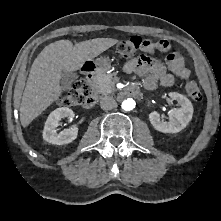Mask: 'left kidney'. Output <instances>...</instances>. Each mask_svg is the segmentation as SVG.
Returning <instances> with one entry per match:
<instances>
[{
    "label": "left kidney",
    "mask_w": 221,
    "mask_h": 221,
    "mask_svg": "<svg viewBox=\"0 0 221 221\" xmlns=\"http://www.w3.org/2000/svg\"><path fill=\"white\" fill-rule=\"evenodd\" d=\"M170 97L178 101L180 108L172 109L168 112L169 122L162 121L157 112L149 114V120L152 126L157 131L163 133H177L183 130L191 121L193 115V105L187 97L176 92L170 93Z\"/></svg>",
    "instance_id": "5707ae66"
}]
</instances>
